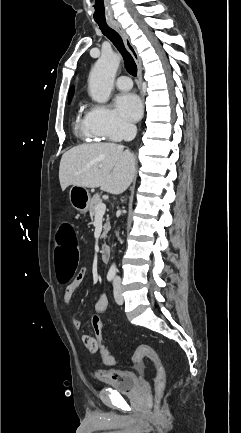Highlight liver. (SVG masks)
<instances>
[{"label": "liver", "mask_w": 241, "mask_h": 433, "mask_svg": "<svg viewBox=\"0 0 241 433\" xmlns=\"http://www.w3.org/2000/svg\"><path fill=\"white\" fill-rule=\"evenodd\" d=\"M136 159L129 150L116 143L84 144L65 152L59 166V181L68 186L100 188L121 194L135 176Z\"/></svg>", "instance_id": "6515ba94"}]
</instances>
